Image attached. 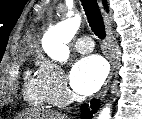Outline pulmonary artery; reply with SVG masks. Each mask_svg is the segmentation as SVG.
<instances>
[{
  "instance_id": "1",
  "label": "pulmonary artery",
  "mask_w": 142,
  "mask_h": 119,
  "mask_svg": "<svg viewBox=\"0 0 142 119\" xmlns=\"http://www.w3.org/2000/svg\"><path fill=\"white\" fill-rule=\"evenodd\" d=\"M75 48L79 53H90L94 49V43L89 37H81L75 42Z\"/></svg>"
}]
</instances>
